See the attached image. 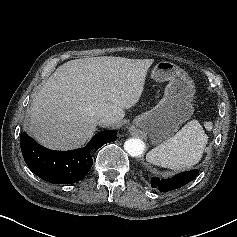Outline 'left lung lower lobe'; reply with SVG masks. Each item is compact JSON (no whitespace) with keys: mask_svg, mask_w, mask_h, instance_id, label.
<instances>
[{"mask_svg":"<svg viewBox=\"0 0 237 237\" xmlns=\"http://www.w3.org/2000/svg\"><path fill=\"white\" fill-rule=\"evenodd\" d=\"M198 173L199 171L195 169V170L179 173L169 179L160 180L159 178H153L151 181V186L153 188H158V190L161 192L172 191L194 180L196 176L198 175Z\"/></svg>","mask_w":237,"mask_h":237,"instance_id":"left-lung-lower-lobe-1","label":"left lung lower lobe"}]
</instances>
